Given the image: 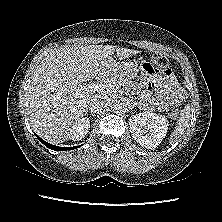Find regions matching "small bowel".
<instances>
[{
	"instance_id": "obj_1",
	"label": "small bowel",
	"mask_w": 222,
	"mask_h": 222,
	"mask_svg": "<svg viewBox=\"0 0 222 222\" xmlns=\"http://www.w3.org/2000/svg\"><path fill=\"white\" fill-rule=\"evenodd\" d=\"M139 88L145 94V104L150 109L166 110L170 105L179 103L184 98L183 89L171 70L164 72L163 76L157 73L147 74Z\"/></svg>"
}]
</instances>
